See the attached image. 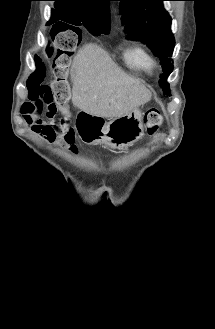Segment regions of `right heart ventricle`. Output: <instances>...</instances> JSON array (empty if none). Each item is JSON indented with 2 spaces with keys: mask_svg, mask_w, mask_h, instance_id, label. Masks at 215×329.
Wrapping results in <instances>:
<instances>
[{
  "mask_svg": "<svg viewBox=\"0 0 215 329\" xmlns=\"http://www.w3.org/2000/svg\"><path fill=\"white\" fill-rule=\"evenodd\" d=\"M123 60L130 70L146 74H152L157 66L156 59L152 53L139 44L126 49L123 53Z\"/></svg>",
  "mask_w": 215,
  "mask_h": 329,
  "instance_id": "right-heart-ventricle-1",
  "label": "right heart ventricle"
}]
</instances>
